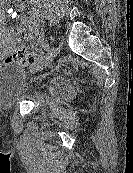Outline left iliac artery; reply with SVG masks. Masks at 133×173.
<instances>
[{
    "instance_id": "1",
    "label": "left iliac artery",
    "mask_w": 133,
    "mask_h": 173,
    "mask_svg": "<svg viewBox=\"0 0 133 173\" xmlns=\"http://www.w3.org/2000/svg\"><path fill=\"white\" fill-rule=\"evenodd\" d=\"M41 42V46L45 51H48L49 49V45L48 43L44 42L43 40L40 41Z\"/></svg>"
}]
</instances>
